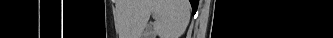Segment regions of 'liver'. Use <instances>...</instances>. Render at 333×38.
<instances>
[{
  "label": "liver",
  "mask_w": 333,
  "mask_h": 38,
  "mask_svg": "<svg viewBox=\"0 0 333 38\" xmlns=\"http://www.w3.org/2000/svg\"><path fill=\"white\" fill-rule=\"evenodd\" d=\"M188 0H137L136 33L141 36L151 14H155L153 30L160 38H179L190 20Z\"/></svg>",
  "instance_id": "6515ba94"
}]
</instances>
